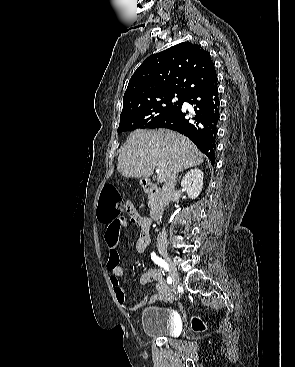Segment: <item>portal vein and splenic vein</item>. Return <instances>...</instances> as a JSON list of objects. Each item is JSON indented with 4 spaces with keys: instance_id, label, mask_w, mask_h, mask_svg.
Masks as SVG:
<instances>
[{
    "instance_id": "1",
    "label": "portal vein and splenic vein",
    "mask_w": 295,
    "mask_h": 367,
    "mask_svg": "<svg viewBox=\"0 0 295 367\" xmlns=\"http://www.w3.org/2000/svg\"><path fill=\"white\" fill-rule=\"evenodd\" d=\"M156 172H157V182H163L165 179L163 172L159 169H157Z\"/></svg>"
}]
</instances>
